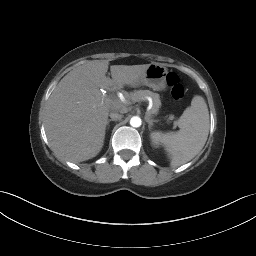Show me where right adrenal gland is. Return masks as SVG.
I'll return each mask as SVG.
<instances>
[{
    "instance_id": "2a0ac1e0",
    "label": "right adrenal gland",
    "mask_w": 256,
    "mask_h": 256,
    "mask_svg": "<svg viewBox=\"0 0 256 256\" xmlns=\"http://www.w3.org/2000/svg\"><path fill=\"white\" fill-rule=\"evenodd\" d=\"M111 121H116V120H113V119L107 120V125H109V123H110Z\"/></svg>"
}]
</instances>
